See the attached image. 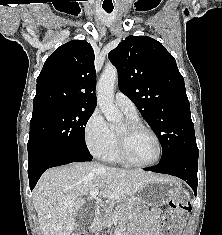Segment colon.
<instances>
[{"instance_id":"colon-1","label":"colon","mask_w":222,"mask_h":235,"mask_svg":"<svg viewBox=\"0 0 222 235\" xmlns=\"http://www.w3.org/2000/svg\"><path fill=\"white\" fill-rule=\"evenodd\" d=\"M190 210L191 204L187 192H178L170 200L163 216V230L161 235H179L180 221L190 212Z\"/></svg>"}]
</instances>
